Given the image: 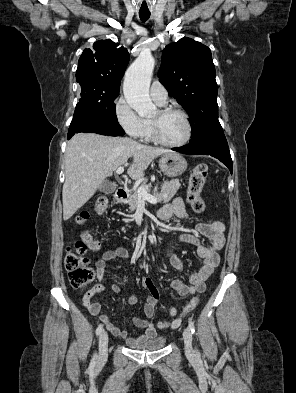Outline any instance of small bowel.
<instances>
[{
    "instance_id": "small-bowel-1",
    "label": "small bowel",
    "mask_w": 296,
    "mask_h": 393,
    "mask_svg": "<svg viewBox=\"0 0 296 393\" xmlns=\"http://www.w3.org/2000/svg\"><path fill=\"white\" fill-rule=\"evenodd\" d=\"M159 216L163 220H168L173 217L179 219H187L189 212L180 197L175 198L171 203L163 206L159 211ZM225 225L218 220H207L198 223L191 231L183 232L179 235L178 241L190 243L197 246V255L201 259V267L198 271L193 272L189 276V284H186L181 279L172 281L171 286L179 296H187L194 293H203L206 289L205 282L211 276L214 269L219 264L218 252L224 244ZM201 237H206L209 240L208 244H204ZM175 242H169L165 249V256L171 265L181 271L184 268V262L174 254ZM130 257L129 251L124 247H116L105 251L95 262L96 274L98 282L86 291L82 297V304L88 309L90 314L99 316L106 328L115 336L126 339L129 346L134 347L145 343L157 336V332L163 328L175 329L181 324V319L176 317L177 310L171 307L169 316L170 321L154 322L156 310L159 306V293L154 285L151 277L145 276L142 279V286L149 290L150 294L146 297L144 311L146 319L134 317L133 323L137 328L143 329V333L137 336H130L127 331L120 329L114 324L106 314H101V305L98 302L92 301V298L105 290L106 282V266L107 263L117 259L126 260ZM111 290L114 293H119L121 287L118 283L111 285ZM138 303L137 297L128 299L129 305Z\"/></svg>"
}]
</instances>
